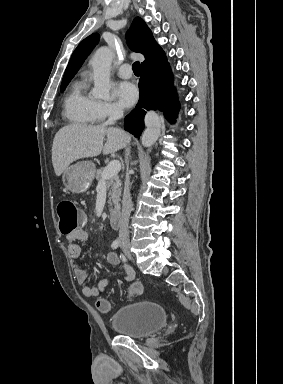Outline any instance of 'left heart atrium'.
<instances>
[{"label":"left heart atrium","instance_id":"left-heart-atrium-1","mask_svg":"<svg viewBox=\"0 0 283 384\" xmlns=\"http://www.w3.org/2000/svg\"><path fill=\"white\" fill-rule=\"evenodd\" d=\"M114 93L120 104L125 108L132 107L138 100V90L129 82L117 83L114 86Z\"/></svg>","mask_w":283,"mask_h":384}]
</instances>
